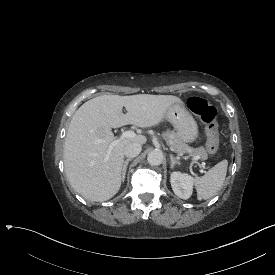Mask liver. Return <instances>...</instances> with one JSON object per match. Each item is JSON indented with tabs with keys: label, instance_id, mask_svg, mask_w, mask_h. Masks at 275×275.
<instances>
[{
	"label": "liver",
	"instance_id": "liver-1",
	"mask_svg": "<svg viewBox=\"0 0 275 275\" xmlns=\"http://www.w3.org/2000/svg\"><path fill=\"white\" fill-rule=\"evenodd\" d=\"M173 103L183 104L176 96L149 94L101 95L85 102L72 116L64 143L65 172L72 188L91 201L112 198L121 186L124 147L145 144L147 139L143 135L116 139L111 129L155 126ZM115 140L119 142L110 151Z\"/></svg>",
	"mask_w": 275,
	"mask_h": 275
}]
</instances>
